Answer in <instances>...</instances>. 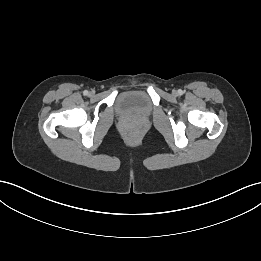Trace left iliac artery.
I'll return each mask as SVG.
<instances>
[{"mask_svg":"<svg viewBox=\"0 0 261 261\" xmlns=\"http://www.w3.org/2000/svg\"><path fill=\"white\" fill-rule=\"evenodd\" d=\"M179 93L181 94V93H182V91H181V90H179Z\"/></svg>","mask_w":261,"mask_h":261,"instance_id":"1","label":"left iliac artery"}]
</instances>
